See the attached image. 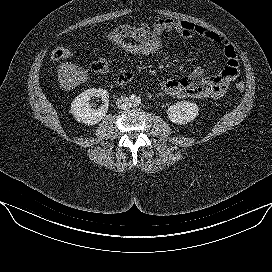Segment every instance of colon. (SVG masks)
<instances>
[{
	"mask_svg": "<svg viewBox=\"0 0 272 272\" xmlns=\"http://www.w3.org/2000/svg\"><path fill=\"white\" fill-rule=\"evenodd\" d=\"M107 41L121 52L136 58H144L162 53L165 50V43L162 39H138L109 31L106 35ZM71 56V51L67 48L57 47L52 51L54 60H62ZM91 69L97 73H104L108 70V63L104 59L94 60ZM236 89L244 91L243 82L236 83Z\"/></svg>",
	"mask_w": 272,
	"mask_h": 272,
	"instance_id": "obj_1",
	"label": "colon"
}]
</instances>
